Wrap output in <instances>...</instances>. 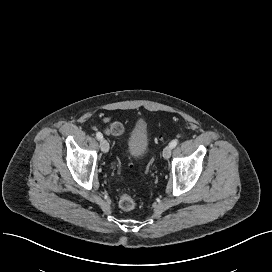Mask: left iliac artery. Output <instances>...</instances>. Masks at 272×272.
I'll return each instance as SVG.
<instances>
[{
	"mask_svg": "<svg viewBox=\"0 0 272 272\" xmlns=\"http://www.w3.org/2000/svg\"><path fill=\"white\" fill-rule=\"evenodd\" d=\"M177 144H178V141H177V140H173V141L170 142L169 145H170L172 148H174V147H176Z\"/></svg>",
	"mask_w": 272,
	"mask_h": 272,
	"instance_id": "1",
	"label": "left iliac artery"
}]
</instances>
